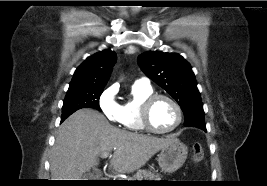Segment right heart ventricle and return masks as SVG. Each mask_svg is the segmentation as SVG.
<instances>
[{
    "label": "right heart ventricle",
    "mask_w": 267,
    "mask_h": 186,
    "mask_svg": "<svg viewBox=\"0 0 267 186\" xmlns=\"http://www.w3.org/2000/svg\"><path fill=\"white\" fill-rule=\"evenodd\" d=\"M152 93L150 85L135 83L132 86L130 98L118 108L117 122L123 129L132 132L145 130L140 120V107L143 100Z\"/></svg>",
    "instance_id": "obj_1"
}]
</instances>
